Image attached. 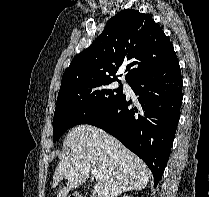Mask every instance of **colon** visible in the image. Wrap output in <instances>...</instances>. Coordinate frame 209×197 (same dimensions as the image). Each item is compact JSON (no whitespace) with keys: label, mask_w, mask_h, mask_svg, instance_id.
Masks as SVG:
<instances>
[{"label":"colon","mask_w":209,"mask_h":197,"mask_svg":"<svg viewBox=\"0 0 209 197\" xmlns=\"http://www.w3.org/2000/svg\"><path fill=\"white\" fill-rule=\"evenodd\" d=\"M69 197H80L79 195H70Z\"/></svg>","instance_id":"5ec220e1"}]
</instances>
